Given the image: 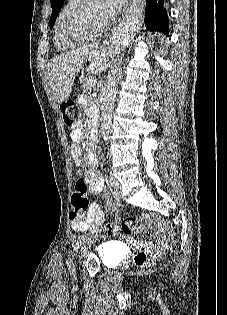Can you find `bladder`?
<instances>
[{
    "label": "bladder",
    "mask_w": 227,
    "mask_h": 315,
    "mask_svg": "<svg viewBox=\"0 0 227 315\" xmlns=\"http://www.w3.org/2000/svg\"><path fill=\"white\" fill-rule=\"evenodd\" d=\"M98 256L104 265L114 267L118 265L121 259V251L112 243H105L99 246Z\"/></svg>",
    "instance_id": "bladder-1"
}]
</instances>
